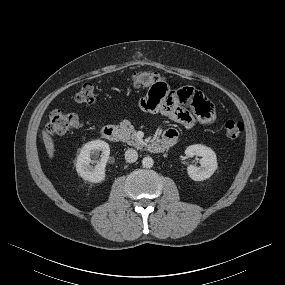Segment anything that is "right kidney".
Masks as SVG:
<instances>
[{"label":"right kidney","instance_id":"obj_1","mask_svg":"<svg viewBox=\"0 0 285 285\" xmlns=\"http://www.w3.org/2000/svg\"><path fill=\"white\" fill-rule=\"evenodd\" d=\"M101 152V159L95 167L91 165L92 159H96ZM109 144L101 140H93L86 143L80 150L76 160V171L80 177L92 183H100L105 180V167L109 159Z\"/></svg>","mask_w":285,"mask_h":285}]
</instances>
